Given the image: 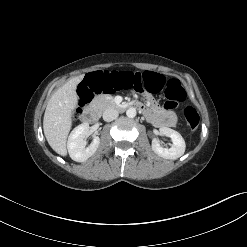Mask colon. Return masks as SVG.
Returning <instances> with one entry per match:
<instances>
[{"instance_id":"1","label":"colon","mask_w":247,"mask_h":247,"mask_svg":"<svg viewBox=\"0 0 247 247\" xmlns=\"http://www.w3.org/2000/svg\"><path fill=\"white\" fill-rule=\"evenodd\" d=\"M135 90L138 93H158L164 90L168 99L166 103L169 107H174L178 102L185 99L186 93L181 83L177 79L166 80L162 75L152 72H139L130 68L126 64L120 66L112 65L105 72H91L80 88V104L77 114L82 111L83 106L88 103L96 93L111 94ZM184 118L188 128L196 131L200 117L193 107L184 109Z\"/></svg>"}]
</instances>
